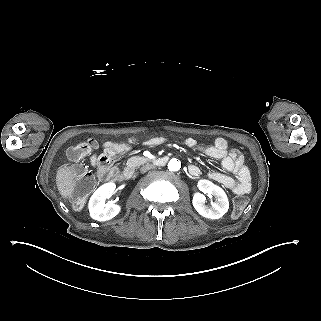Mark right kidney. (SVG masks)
<instances>
[{
    "instance_id": "right-kidney-1",
    "label": "right kidney",
    "mask_w": 321,
    "mask_h": 321,
    "mask_svg": "<svg viewBox=\"0 0 321 321\" xmlns=\"http://www.w3.org/2000/svg\"><path fill=\"white\" fill-rule=\"evenodd\" d=\"M115 183H105L91 196L88 208L91 218L97 221H107L114 218L121 210L119 205L112 202L105 203L115 193Z\"/></svg>"
}]
</instances>
